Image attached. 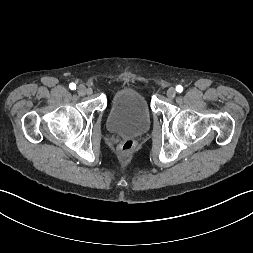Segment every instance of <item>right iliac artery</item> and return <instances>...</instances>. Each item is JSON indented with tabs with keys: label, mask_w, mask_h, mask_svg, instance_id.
<instances>
[{
	"label": "right iliac artery",
	"mask_w": 253,
	"mask_h": 253,
	"mask_svg": "<svg viewBox=\"0 0 253 253\" xmlns=\"http://www.w3.org/2000/svg\"><path fill=\"white\" fill-rule=\"evenodd\" d=\"M69 88H70L71 90H74V89H76V85H75L74 83H71V84L69 85Z\"/></svg>",
	"instance_id": "1"
}]
</instances>
